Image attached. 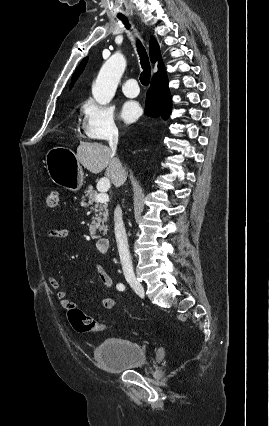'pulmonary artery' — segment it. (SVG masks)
Listing matches in <instances>:
<instances>
[{"label": "pulmonary artery", "mask_w": 269, "mask_h": 426, "mask_svg": "<svg viewBox=\"0 0 269 426\" xmlns=\"http://www.w3.org/2000/svg\"><path fill=\"white\" fill-rule=\"evenodd\" d=\"M122 92L130 98L137 97L139 94V87L135 78L127 79L122 85Z\"/></svg>", "instance_id": "obj_1"}]
</instances>
